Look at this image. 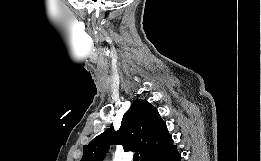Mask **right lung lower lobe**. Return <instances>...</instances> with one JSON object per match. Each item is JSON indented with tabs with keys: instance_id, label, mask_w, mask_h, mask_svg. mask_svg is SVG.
Segmentation results:
<instances>
[{
	"instance_id": "98d812e1",
	"label": "right lung lower lobe",
	"mask_w": 261,
	"mask_h": 161,
	"mask_svg": "<svg viewBox=\"0 0 261 161\" xmlns=\"http://www.w3.org/2000/svg\"><path fill=\"white\" fill-rule=\"evenodd\" d=\"M144 161H180V154L172 143L150 154Z\"/></svg>"
}]
</instances>
